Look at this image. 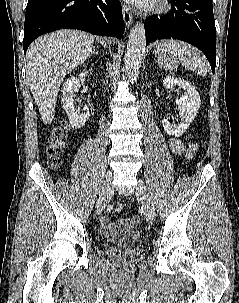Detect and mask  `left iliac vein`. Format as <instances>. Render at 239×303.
<instances>
[{
	"mask_svg": "<svg viewBox=\"0 0 239 303\" xmlns=\"http://www.w3.org/2000/svg\"><path fill=\"white\" fill-rule=\"evenodd\" d=\"M135 193L142 202L146 220L152 221L155 216L154 204L146 185L141 180H138Z\"/></svg>",
	"mask_w": 239,
	"mask_h": 303,
	"instance_id": "1",
	"label": "left iliac vein"
}]
</instances>
